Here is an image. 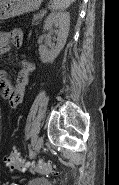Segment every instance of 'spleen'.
I'll list each match as a JSON object with an SVG mask.
<instances>
[{"instance_id":"obj_1","label":"spleen","mask_w":119,"mask_h":185,"mask_svg":"<svg viewBox=\"0 0 119 185\" xmlns=\"http://www.w3.org/2000/svg\"><path fill=\"white\" fill-rule=\"evenodd\" d=\"M75 0H51L50 8L54 11H64L67 9Z\"/></svg>"}]
</instances>
